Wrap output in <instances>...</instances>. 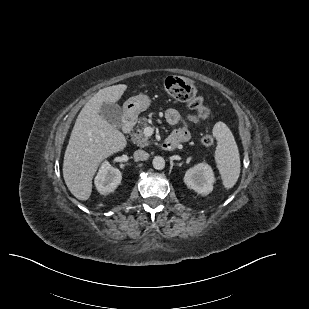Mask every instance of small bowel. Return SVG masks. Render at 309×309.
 Wrapping results in <instances>:
<instances>
[{"instance_id": "c3829d8e", "label": "small bowel", "mask_w": 309, "mask_h": 309, "mask_svg": "<svg viewBox=\"0 0 309 309\" xmlns=\"http://www.w3.org/2000/svg\"><path fill=\"white\" fill-rule=\"evenodd\" d=\"M166 121L171 125H176L179 123L181 115L178 110L176 109H168L165 113ZM189 120L196 123L197 118L193 115L188 116ZM171 138H174L178 140L179 143L186 142L190 138V133L185 127H180L176 129L170 136Z\"/></svg>"}]
</instances>
